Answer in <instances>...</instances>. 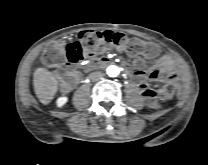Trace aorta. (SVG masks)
Instances as JSON below:
<instances>
[{"label": "aorta", "instance_id": "obj_1", "mask_svg": "<svg viewBox=\"0 0 208 165\" xmlns=\"http://www.w3.org/2000/svg\"><path fill=\"white\" fill-rule=\"evenodd\" d=\"M119 73H120V68L118 66L111 65L107 68V74L110 77H117Z\"/></svg>", "mask_w": 208, "mask_h": 165}]
</instances>
